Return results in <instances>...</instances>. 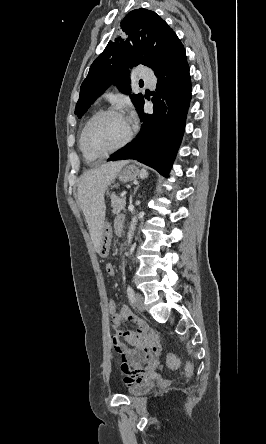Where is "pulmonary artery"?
Returning <instances> with one entry per match:
<instances>
[{
	"mask_svg": "<svg viewBox=\"0 0 266 444\" xmlns=\"http://www.w3.org/2000/svg\"><path fill=\"white\" fill-rule=\"evenodd\" d=\"M138 77L147 82L149 85H154L155 79L146 67H140L137 71Z\"/></svg>",
	"mask_w": 266,
	"mask_h": 444,
	"instance_id": "pulmonary-artery-1",
	"label": "pulmonary artery"
}]
</instances>
